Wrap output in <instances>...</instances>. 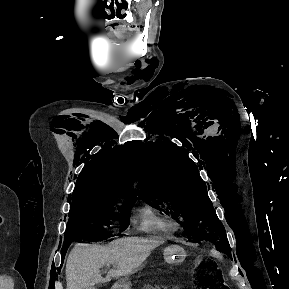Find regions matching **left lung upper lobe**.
Segmentation results:
<instances>
[{
    "label": "left lung upper lobe",
    "instance_id": "1",
    "mask_svg": "<svg viewBox=\"0 0 289 289\" xmlns=\"http://www.w3.org/2000/svg\"><path fill=\"white\" fill-rule=\"evenodd\" d=\"M137 195L150 206L181 220L190 242L209 241L231 258L225 229L218 219L198 168L168 140L142 145Z\"/></svg>",
    "mask_w": 289,
    "mask_h": 289
}]
</instances>
